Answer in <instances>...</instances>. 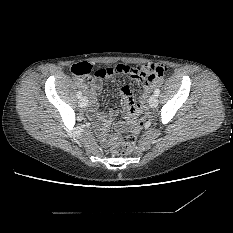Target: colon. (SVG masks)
Segmentation results:
<instances>
[{
  "mask_svg": "<svg viewBox=\"0 0 233 233\" xmlns=\"http://www.w3.org/2000/svg\"><path fill=\"white\" fill-rule=\"evenodd\" d=\"M69 70L80 78V82L84 86L88 83L91 77L95 79H102L116 73H122L135 79L149 82L163 77L166 68L161 64L142 66L137 64L117 63L109 67L93 69L92 64L89 62H79L71 65ZM127 110L129 113L138 116L142 113L143 107L141 105H131ZM134 144L135 137L133 135H126L113 143L110 152L114 156L126 155L133 150Z\"/></svg>",
  "mask_w": 233,
  "mask_h": 233,
  "instance_id": "5ec220e1",
  "label": "colon"
}]
</instances>
